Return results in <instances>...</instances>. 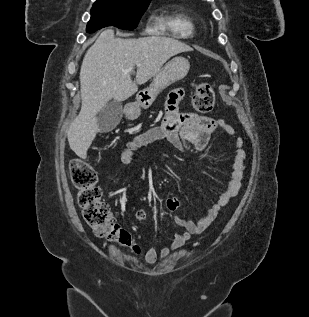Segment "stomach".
I'll use <instances>...</instances> for the list:
<instances>
[{
    "label": "stomach",
    "instance_id": "1",
    "mask_svg": "<svg viewBox=\"0 0 309 317\" xmlns=\"http://www.w3.org/2000/svg\"><path fill=\"white\" fill-rule=\"evenodd\" d=\"M190 68L189 61L181 56L171 59L154 76L149 87L139 91L136 96V102L125 108V115L130 120L137 119L141 114V108H149L158 94L169 85L182 80Z\"/></svg>",
    "mask_w": 309,
    "mask_h": 317
}]
</instances>
